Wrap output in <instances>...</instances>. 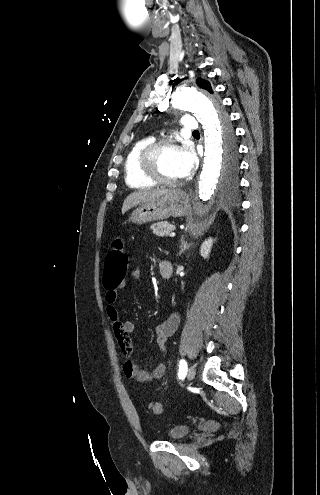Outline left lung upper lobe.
Masks as SVG:
<instances>
[{
    "mask_svg": "<svg viewBox=\"0 0 320 495\" xmlns=\"http://www.w3.org/2000/svg\"><path fill=\"white\" fill-rule=\"evenodd\" d=\"M178 81V80H177ZM196 84L208 92L212 93L211 85L208 81L198 78ZM226 115L222 117V124L225 121ZM223 137H222V164L224 173L227 176L235 173L238 167L237 159V146L234 140V135L231 128L225 123L223 124Z\"/></svg>",
    "mask_w": 320,
    "mask_h": 495,
    "instance_id": "1",
    "label": "left lung upper lobe"
}]
</instances>
